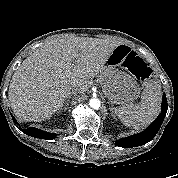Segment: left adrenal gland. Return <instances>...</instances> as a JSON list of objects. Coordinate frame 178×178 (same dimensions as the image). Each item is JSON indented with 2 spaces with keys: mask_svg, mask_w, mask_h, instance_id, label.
<instances>
[{
  "mask_svg": "<svg viewBox=\"0 0 178 178\" xmlns=\"http://www.w3.org/2000/svg\"><path fill=\"white\" fill-rule=\"evenodd\" d=\"M113 110H114V108H113V106H111V107H110L111 115H112V116H115Z\"/></svg>",
  "mask_w": 178,
  "mask_h": 178,
  "instance_id": "1",
  "label": "left adrenal gland"
}]
</instances>
